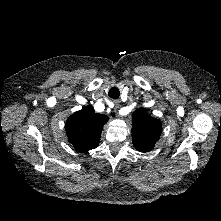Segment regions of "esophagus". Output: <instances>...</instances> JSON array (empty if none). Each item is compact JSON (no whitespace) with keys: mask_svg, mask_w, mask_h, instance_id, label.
<instances>
[{"mask_svg":"<svg viewBox=\"0 0 221 221\" xmlns=\"http://www.w3.org/2000/svg\"><path fill=\"white\" fill-rule=\"evenodd\" d=\"M113 103H114V110H113V112H116V110L119 108L120 101L116 99V100L113 101ZM114 116L117 117L116 114H114Z\"/></svg>","mask_w":221,"mask_h":221,"instance_id":"34e87169","label":"esophagus"}]
</instances>
